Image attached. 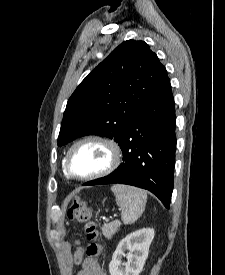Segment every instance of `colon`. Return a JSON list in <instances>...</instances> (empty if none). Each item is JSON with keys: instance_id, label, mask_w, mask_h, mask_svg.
Segmentation results:
<instances>
[{"instance_id": "1", "label": "colon", "mask_w": 225, "mask_h": 275, "mask_svg": "<svg viewBox=\"0 0 225 275\" xmlns=\"http://www.w3.org/2000/svg\"><path fill=\"white\" fill-rule=\"evenodd\" d=\"M67 217L70 220L78 221L82 225L83 232L87 240L90 241L86 248V256L92 258L100 255L102 245L99 241V231L93 213L87 203L80 199H74L68 208ZM82 255L83 250L77 243L74 253L75 263L79 264L81 262Z\"/></svg>"}]
</instances>
